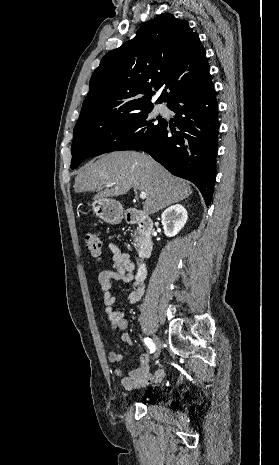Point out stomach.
I'll list each match as a JSON object with an SVG mask.
<instances>
[{
	"label": "stomach",
	"instance_id": "obj_1",
	"mask_svg": "<svg viewBox=\"0 0 279 465\" xmlns=\"http://www.w3.org/2000/svg\"><path fill=\"white\" fill-rule=\"evenodd\" d=\"M92 209L96 216L109 224H119L123 219V207L120 202L113 199H95Z\"/></svg>",
	"mask_w": 279,
	"mask_h": 465
}]
</instances>
